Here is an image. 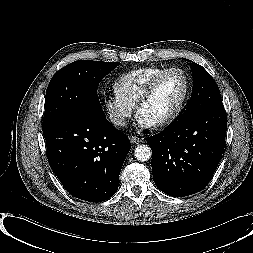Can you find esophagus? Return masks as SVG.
Listing matches in <instances>:
<instances>
[{"label":"esophagus","mask_w":253,"mask_h":253,"mask_svg":"<svg viewBox=\"0 0 253 253\" xmlns=\"http://www.w3.org/2000/svg\"><path fill=\"white\" fill-rule=\"evenodd\" d=\"M129 139H130V141H131V143H132L133 145L139 144V143L142 142V139L139 138V137H137V136H130Z\"/></svg>","instance_id":"esophagus-1"}]
</instances>
